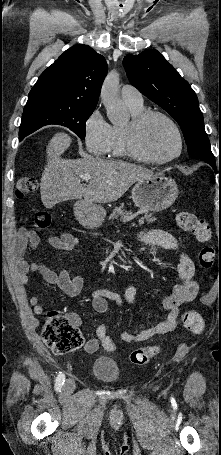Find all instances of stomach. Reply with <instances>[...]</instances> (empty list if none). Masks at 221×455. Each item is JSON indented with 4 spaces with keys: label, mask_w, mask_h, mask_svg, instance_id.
Segmentation results:
<instances>
[{
    "label": "stomach",
    "mask_w": 221,
    "mask_h": 455,
    "mask_svg": "<svg viewBox=\"0 0 221 455\" xmlns=\"http://www.w3.org/2000/svg\"><path fill=\"white\" fill-rule=\"evenodd\" d=\"M178 186L174 179L163 175H152L137 181L132 189L135 205L145 211L158 212L169 208L177 199ZM77 219L85 226L99 227L106 210L97 204L79 201L74 206Z\"/></svg>",
    "instance_id": "obj_1"
}]
</instances>
